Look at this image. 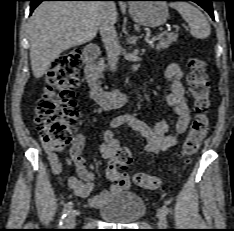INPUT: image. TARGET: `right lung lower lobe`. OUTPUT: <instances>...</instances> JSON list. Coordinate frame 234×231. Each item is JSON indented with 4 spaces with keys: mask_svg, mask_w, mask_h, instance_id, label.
Instances as JSON below:
<instances>
[{
    "mask_svg": "<svg viewBox=\"0 0 234 231\" xmlns=\"http://www.w3.org/2000/svg\"><path fill=\"white\" fill-rule=\"evenodd\" d=\"M31 1V9L30 14L33 12V10L42 2V1H89V0H29ZM97 1V0H93ZM117 1V0H114Z\"/></svg>",
    "mask_w": 234,
    "mask_h": 231,
    "instance_id": "98d812e1",
    "label": "right lung lower lobe"
}]
</instances>
